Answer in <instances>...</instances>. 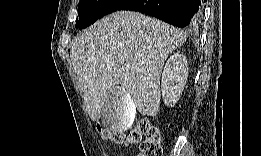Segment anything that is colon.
I'll use <instances>...</instances> for the list:
<instances>
[{
	"label": "colon",
	"mask_w": 261,
	"mask_h": 156,
	"mask_svg": "<svg viewBox=\"0 0 261 156\" xmlns=\"http://www.w3.org/2000/svg\"><path fill=\"white\" fill-rule=\"evenodd\" d=\"M99 132L104 140L121 145L137 143L141 140L142 136H145V140L141 144L139 155H162L160 128L147 119H142L129 133L110 131L105 128L100 129Z\"/></svg>",
	"instance_id": "5ec220e1"
}]
</instances>
